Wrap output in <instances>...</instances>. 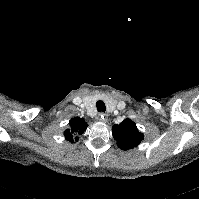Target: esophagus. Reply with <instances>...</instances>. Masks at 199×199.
Segmentation results:
<instances>
[{
    "mask_svg": "<svg viewBox=\"0 0 199 199\" xmlns=\"http://www.w3.org/2000/svg\"><path fill=\"white\" fill-rule=\"evenodd\" d=\"M98 119H99L100 121L104 122V123L107 122V116H106V114H103V113L99 114Z\"/></svg>",
    "mask_w": 199,
    "mask_h": 199,
    "instance_id": "obj_1",
    "label": "esophagus"
}]
</instances>
